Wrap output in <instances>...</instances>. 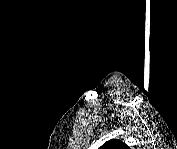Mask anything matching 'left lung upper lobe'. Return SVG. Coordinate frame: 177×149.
Returning <instances> with one entry per match:
<instances>
[{
  "mask_svg": "<svg viewBox=\"0 0 177 149\" xmlns=\"http://www.w3.org/2000/svg\"><path fill=\"white\" fill-rule=\"evenodd\" d=\"M129 148L125 143L120 140L112 139L105 142L100 149H127Z\"/></svg>",
  "mask_w": 177,
  "mask_h": 149,
  "instance_id": "obj_1",
  "label": "left lung upper lobe"
}]
</instances>
